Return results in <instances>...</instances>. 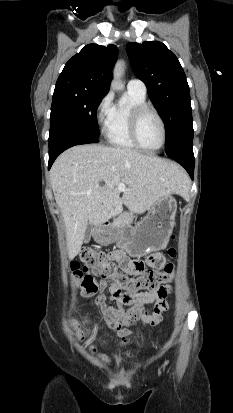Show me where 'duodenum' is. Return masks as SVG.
<instances>
[{
  "label": "duodenum",
  "mask_w": 233,
  "mask_h": 413,
  "mask_svg": "<svg viewBox=\"0 0 233 413\" xmlns=\"http://www.w3.org/2000/svg\"><path fill=\"white\" fill-rule=\"evenodd\" d=\"M107 224H108V222H104V223L101 224V226H105Z\"/></svg>",
  "instance_id": "duodenum-1"
}]
</instances>
